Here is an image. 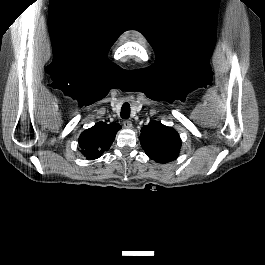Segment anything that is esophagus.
<instances>
[{
    "label": "esophagus",
    "instance_id": "esophagus-1",
    "mask_svg": "<svg viewBox=\"0 0 265 265\" xmlns=\"http://www.w3.org/2000/svg\"><path fill=\"white\" fill-rule=\"evenodd\" d=\"M123 125L127 129H131L132 128V122L130 120H124Z\"/></svg>",
    "mask_w": 265,
    "mask_h": 265
}]
</instances>
